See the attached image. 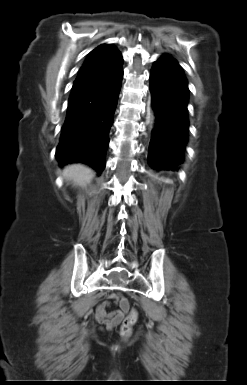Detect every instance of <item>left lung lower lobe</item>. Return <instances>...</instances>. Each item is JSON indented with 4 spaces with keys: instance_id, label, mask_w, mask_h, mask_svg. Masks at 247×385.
<instances>
[{
    "instance_id": "obj_1",
    "label": "left lung lower lobe",
    "mask_w": 247,
    "mask_h": 385,
    "mask_svg": "<svg viewBox=\"0 0 247 385\" xmlns=\"http://www.w3.org/2000/svg\"><path fill=\"white\" fill-rule=\"evenodd\" d=\"M150 91L157 118L149 147V163L155 169L165 166L172 169L183 161L189 129V95L182 68L171 56L163 55L154 63Z\"/></svg>"
}]
</instances>
